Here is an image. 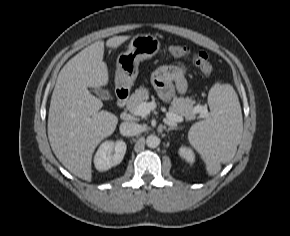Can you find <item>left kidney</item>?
I'll list each match as a JSON object with an SVG mask.
<instances>
[{"label":"left kidney","mask_w":290,"mask_h":236,"mask_svg":"<svg viewBox=\"0 0 290 236\" xmlns=\"http://www.w3.org/2000/svg\"><path fill=\"white\" fill-rule=\"evenodd\" d=\"M179 155L190 164L194 163L195 161L194 152L190 148L181 147L179 149Z\"/></svg>","instance_id":"left-kidney-1"}]
</instances>
